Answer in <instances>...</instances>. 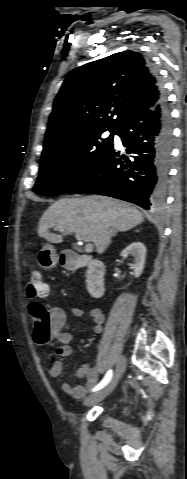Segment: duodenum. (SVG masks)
I'll return each instance as SVG.
<instances>
[{"mask_svg": "<svg viewBox=\"0 0 187 479\" xmlns=\"http://www.w3.org/2000/svg\"><path fill=\"white\" fill-rule=\"evenodd\" d=\"M63 265L68 269H77L87 265V291L92 297H99L102 295L105 287V268L102 262L64 254Z\"/></svg>", "mask_w": 187, "mask_h": 479, "instance_id": "obj_1", "label": "duodenum"}]
</instances>
